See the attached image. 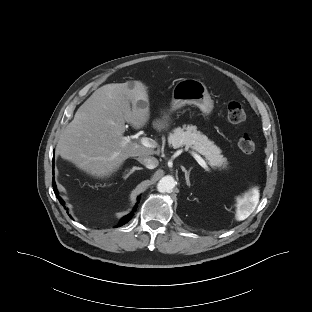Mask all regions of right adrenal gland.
I'll return each mask as SVG.
<instances>
[{
  "label": "right adrenal gland",
  "mask_w": 312,
  "mask_h": 312,
  "mask_svg": "<svg viewBox=\"0 0 312 312\" xmlns=\"http://www.w3.org/2000/svg\"><path fill=\"white\" fill-rule=\"evenodd\" d=\"M142 167H132L129 172L123 177L124 180H126L132 173H134L136 170H142ZM128 171V170H127Z\"/></svg>",
  "instance_id": "right-adrenal-gland-1"
}]
</instances>
